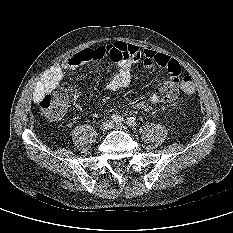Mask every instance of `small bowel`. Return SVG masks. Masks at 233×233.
<instances>
[{"instance_id": "c3829d8e", "label": "small bowel", "mask_w": 233, "mask_h": 233, "mask_svg": "<svg viewBox=\"0 0 233 233\" xmlns=\"http://www.w3.org/2000/svg\"><path fill=\"white\" fill-rule=\"evenodd\" d=\"M104 58H109L119 66L118 71L110 79L107 88L116 92L126 88L131 80V65L142 62L146 68L160 66L165 69L167 78L156 93L148 100L135 104L139 110L149 111L152 104H168L173 102L179 93V77L181 73L178 62L168 55L150 49L140 50L137 46L123 42L95 45L71 55L62 63L54 66L35 89L34 98L39 99L46 93L56 89L63 80L65 71L76 69L83 65L97 64Z\"/></svg>"}]
</instances>
